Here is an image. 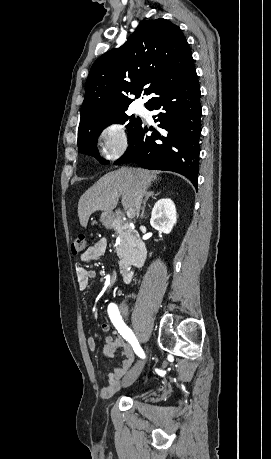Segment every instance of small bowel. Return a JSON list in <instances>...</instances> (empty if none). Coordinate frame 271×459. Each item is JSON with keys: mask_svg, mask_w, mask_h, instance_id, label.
I'll return each instance as SVG.
<instances>
[{"mask_svg": "<svg viewBox=\"0 0 271 459\" xmlns=\"http://www.w3.org/2000/svg\"><path fill=\"white\" fill-rule=\"evenodd\" d=\"M107 246V239L100 238L93 245L89 246L81 255L80 264L76 269L77 283L80 290L87 289L90 280L96 275L95 271L86 268L83 264L102 257L106 253ZM101 330L103 332H109L110 324L106 322L102 323ZM87 346L91 351L96 350L97 342L95 338L89 337L87 339ZM103 353L105 357L109 359L113 358L118 353L122 356L120 366L109 373L107 384L100 389V397L102 399H107L120 389L124 378L130 374L134 362V353L131 347L123 339V336L118 334V332H113L112 335L107 338Z\"/></svg>", "mask_w": 271, "mask_h": 459, "instance_id": "obj_1", "label": "small bowel"}]
</instances>
